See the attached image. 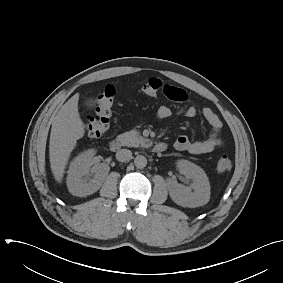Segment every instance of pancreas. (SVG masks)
<instances>
[{"mask_svg":"<svg viewBox=\"0 0 283 283\" xmlns=\"http://www.w3.org/2000/svg\"><path fill=\"white\" fill-rule=\"evenodd\" d=\"M117 140L120 141L123 146L128 147L146 146V143L149 142L148 139L140 136L139 132L136 130L118 135Z\"/></svg>","mask_w":283,"mask_h":283,"instance_id":"cf45deb5","label":"pancreas"}]
</instances>
